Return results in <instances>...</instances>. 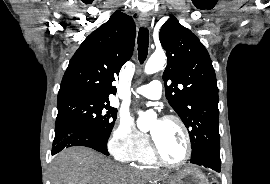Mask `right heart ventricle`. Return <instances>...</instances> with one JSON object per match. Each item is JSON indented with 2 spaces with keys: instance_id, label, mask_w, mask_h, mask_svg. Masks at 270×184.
I'll return each mask as SVG.
<instances>
[{
  "instance_id": "right-heart-ventricle-1",
  "label": "right heart ventricle",
  "mask_w": 270,
  "mask_h": 184,
  "mask_svg": "<svg viewBox=\"0 0 270 184\" xmlns=\"http://www.w3.org/2000/svg\"><path fill=\"white\" fill-rule=\"evenodd\" d=\"M135 161H138L144 165H153L156 163V160L152 154L151 148L147 146L137 157Z\"/></svg>"
}]
</instances>
